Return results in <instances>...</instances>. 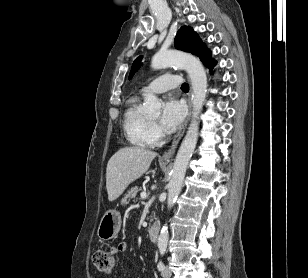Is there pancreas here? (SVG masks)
Segmentation results:
<instances>
[{"mask_svg":"<svg viewBox=\"0 0 308 278\" xmlns=\"http://www.w3.org/2000/svg\"><path fill=\"white\" fill-rule=\"evenodd\" d=\"M139 192V188L138 187H132L131 189H129L126 193V195L124 196V198L122 199V204L123 205H127L129 204L131 199H135L137 193Z\"/></svg>","mask_w":308,"mask_h":278,"instance_id":"cf45deb5","label":"pancreas"}]
</instances>
